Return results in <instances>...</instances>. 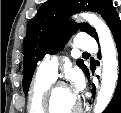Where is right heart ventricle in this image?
Returning <instances> with one entry per match:
<instances>
[{"label": "right heart ventricle", "mask_w": 121, "mask_h": 113, "mask_svg": "<svg viewBox=\"0 0 121 113\" xmlns=\"http://www.w3.org/2000/svg\"><path fill=\"white\" fill-rule=\"evenodd\" d=\"M53 79L37 73L32 93L30 96V107L29 109H42L46 110L45 105V91L51 85Z\"/></svg>", "instance_id": "e07e8e85"}]
</instances>
